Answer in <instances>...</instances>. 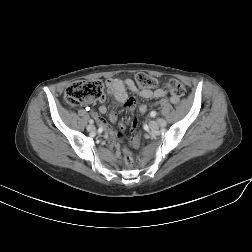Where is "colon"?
<instances>
[{"mask_svg": "<svg viewBox=\"0 0 252 252\" xmlns=\"http://www.w3.org/2000/svg\"><path fill=\"white\" fill-rule=\"evenodd\" d=\"M136 84L142 89L153 88L157 85V80L146 73H138L135 76ZM165 90L170 94L180 98L185 95V86L176 79H171L165 83ZM104 98V88L101 81L77 82L71 85L65 92V101L71 106L80 105L91 100H101ZM162 104V102L160 103ZM137 119L132 121L130 131V142L137 146L140 141V134L136 130ZM120 137H124V129L117 132ZM124 157L127 166L133 165V157L128 149L124 150Z\"/></svg>", "mask_w": 252, "mask_h": 252, "instance_id": "colon-1", "label": "colon"}]
</instances>
